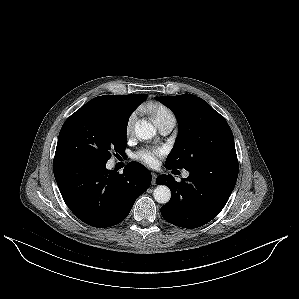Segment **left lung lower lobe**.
<instances>
[{
  "label": "left lung lower lobe",
  "instance_id": "0a47b994",
  "mask_svg": "<svg viewBox=\"0 0 299 299\" xmlns=\"http://www.w3.org/2000/svg\"><path fill=\"white\" fill-rule=\"evenodd\" d=\"M186 170L190 175L180 183L168 175L158 176L156 182L172 191L170 201L161 207L163 218L192 229L211 221L226 205L238 176L237 155L208 159Z\"/></svg>",
  "mask_w": 299,
  "mask_h": 299
}]
</instances>
